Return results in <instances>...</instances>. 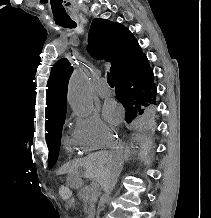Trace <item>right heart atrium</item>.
Returning <instances> with one entry per match:
<instances>
[{
	"label": "right heart atrium",
	"mask_w": 211,
	"mask_h": 218,
	"mask_svg": "<svg viewBox=\"0 0 211 218\" xmlns=\"http://www.w3.org/2000/svg\"><path fill=\"white\" fill-rule=\"evenodd\" d=\"M72 135L80 145L89 149L100 148L112 139L111 131L95 112L75 116Z\"/></svg>",
	"instance_id": "right-heart-atrium-1"
}]
</instances>
